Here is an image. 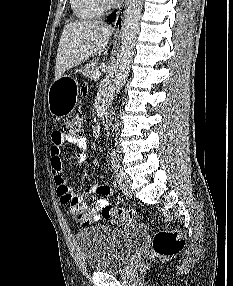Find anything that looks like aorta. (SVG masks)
<instances>
[{"instance_id": "1", "label": "aorta", "mask_w": 233, "mask_h": 286, "mask_svg": "<svg viewBox=\"0 0 233 286\" xmlns=\"http://www.w3.org/2000/svg\"><path fill=\"white\" fill-rule=\"evenodd\" d=\"M144 0H130L126 10L125 20L122 29L121 50L117 59V67L115 72V92L118 94L125 83L131 58L134 52L135 41L139 22L141 18Z\"/></svg>"}]
</instances>
